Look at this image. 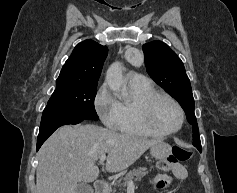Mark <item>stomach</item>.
<instances>
[{
    "label": "stomach",
    "instance_id": "obj_1",
    "mask_svg": "<svg viewBox=\"0 0 237 193\" xmlns=\"http://www.w3.org/2000/svg\"><path fill=\"white\" fill-rule=\"evenodd\" d=\"M170 150L171 147L167 143L160 141L151 146L150 153L156 159H163L169 155Z\"/></svg>",
    "mask_w": 237,
    "mask_h": 193
}]
</instances>
